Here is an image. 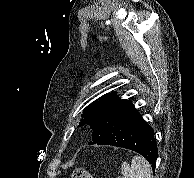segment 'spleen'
I'll list each match as a JSON object with an SVG mask.
<instances>
[{
  "label": "spleen",
  "mask_w": 194,
  "mask_h": 178,
  "mask_svg": "<svg viewBox=\"0 0 194 178\" xmlns=\"http://www.w3.org/2000/svg\"><path fill=\"white\" fill-rule=\"evenodd\" d=\"M121 172L123 178H153L149 163L137 155L132 158L131 165L125 161L122 163Z\"/></svg>",
  "instance_id": "3e777b00"
}]
</instances>
